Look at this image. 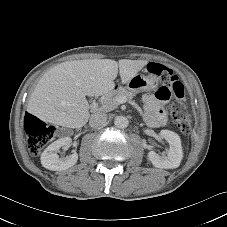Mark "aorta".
Returning a JSON list of instances; mask_svg holds the SVG:
<instances>
[{
	"label": "aorta",
	"instance_id": "aorta-1",
	"mask_svg": "<svg viewBox=\"0 0 227 227\" xmlns=\"http://www.w3.org/2000/svg\"><path fill=\"white\" fill-rule=\"evenodd\" d=\"M116 128L125 129L129 125V120L125 116H117L114 120Z\"/></svg>",
	"mask_w": 227,
	"mask_h": 227
}]
</instances>
